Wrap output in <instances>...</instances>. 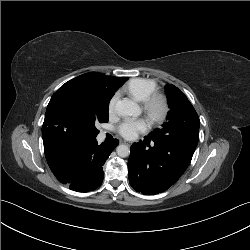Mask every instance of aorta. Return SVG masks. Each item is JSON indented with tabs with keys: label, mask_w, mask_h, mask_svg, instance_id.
Here are the masks:
<instances>
[{
	"label": "aorta",
	"mask_w": 250,
	"mask_h": 250,
	"mask_svg": "<svg viewBox=\"0 0 250 250\" xmlns=\"http://www.w3.org/2000/svg\"><path fill=\"white\" fill-rule=\"evenodd\" d=\"M116 111L122 115H139L140 107L133 101L124 99L116 103ZM117 154L120 157H127L130 154V149L127 145H119L116 148Z\"/></svg>",
	"instance_id": "obj_1"
}]
</instances>
